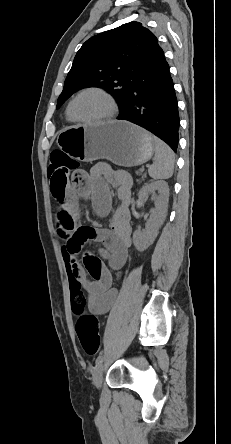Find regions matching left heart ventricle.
I'll list each match as a JSON object with an SVG mask.
<instances>
[{"instance_id":"obj_1","label":"left heart ventricle","mask_w":231,"mask_h":444,"mask_svg":"<svg viewBox=\"0 0 231 444\" xmlns=\"http://www.w3.org/2000/svg\"><path fill=\"white\" fill-rule=\"evenodd\" d=\"M73 110L79 118L95 120L109 113V104L101 94L86 92L77 98Z\"/></svg>"}]
</instances>
